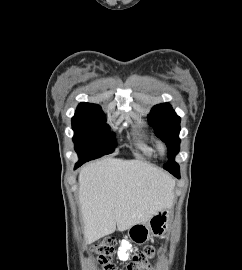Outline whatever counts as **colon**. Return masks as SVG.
Segmentation results:
<instances>
[{
    "mask_svg": "<svg viewBox=\"0 0 242 270\" xmlns=\"http://www.w3.org/2000/svg\"><path fill=\"white\" fill-rule=\"evenodd\" d=\"M116 248L113 237L103 238L95 247L96 263L101 270H120L113 262L112 256ZM158 249L153 246L137 251L133 260L127 265L126 270H150Z\"/></svg>",
    "mask_w": 242,
    "mask_h": 270,
    "instance_id": "colon-1",
    "label": "colon"
}]
</instances>
